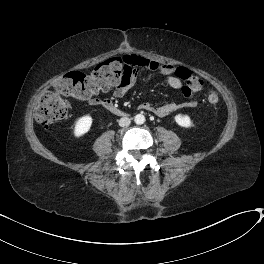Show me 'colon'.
<instances>
[{"label": "colon", "mask_w": 264, "mask_h": 264, "mask_svg": "<svg viewBox=\"0 0 264 264\" xmlns=\"http://www.w3.org/2000/svg\"><path fill=\"white\" fill-rule=\"evenodd\" d=\"M131 57L109 58L100 62L96 67L87 72L71 71L60 77L54 85L47 89L37 106L35 117L42 125L50 126L58 120L66 117L70 105L65 97H87L94 93L102 92L114 86L127 66ZM177 75L187 79V85L182 89V94L191 97L199 92L202 81L197 76L179 70ZM206 101L215 106L220 100V93L211 85L204 87Z\"/></svg>", "instance_id": "5ec220e1"}]
</instances>
